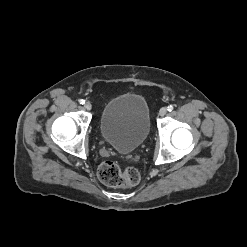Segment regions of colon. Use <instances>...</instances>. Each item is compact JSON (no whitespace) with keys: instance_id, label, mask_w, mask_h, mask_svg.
Segmentation results:
<instances>
[{"instance_id":"colon-1","label":"colon","mask_w":247,"mask_h":247,"mask_svg":"<svg viewBox=\"0 0 247 247\" xmlns=\"http://www.w3.org/2000/svg\"><path fill=\"white\" fill-rule=\"evenodd\" d=\"M99 179L107 186L129 188L138 184L139 172L133 167L121 168L116 162L105 161L98 168Z\"/></svg>"}]
</instances>
